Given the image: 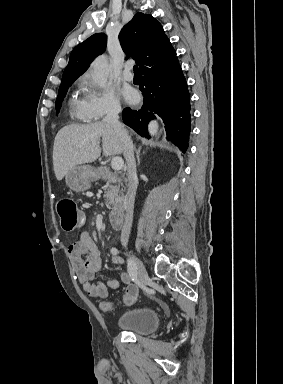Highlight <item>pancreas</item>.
Listing matches in <instances>:
<instances>
[{
    "label": "pancreas",
    "instance_id": "obj_1",
    "mask_svg": "<svg viewBox=\"0 0 283 384\" xmlns=\"http://www.w3.org/2000/svg\"><path fill=\"white\" fill-rule=\"evenodd\" d=\"M101 172V180L106 182L104 198H106L107 208L111 210V214H114L118 210L119 206L123 204V194L118 184H112L117 182L118 174L116 172H109V168H98Z\"/></svg>",
    "mask_w": 283,
    "mask_h": 384
}]
</instances>
